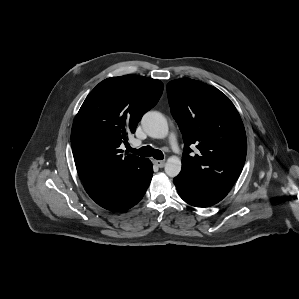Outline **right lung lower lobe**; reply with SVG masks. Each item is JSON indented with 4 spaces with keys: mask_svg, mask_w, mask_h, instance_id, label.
<instances>
[{
    "mask_svg": "<svg viewBox=\"0 0 299 299\" xmlns=\"http://www.w3.org/2000/svg\"><path fill=\"white\" fill-rule=\"evenodd\" d=\"M153 175L152 163L145 159L138 169L101 184L84 183L88 195L101 207L116 212L136 205L144 196Z\"/></svg>",
    "mask_w": 299,
    "mask_h": 299,
    "instance_id": "right-lung-lower-lobe-1",
    "label": "right lung lower lobe"
}]
</instances>
